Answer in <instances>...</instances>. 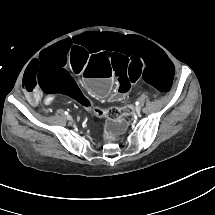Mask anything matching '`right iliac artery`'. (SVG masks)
<instances>
[{
    "instance_id": "82829eb1",
    "label": "right iliac artery",
    "mask_w": 215,
    "mask_h": 215,
    "mask_svg": "<svg viewBox=\"0 0 215 215\" xmlns=\"http://www.w3.org/2000/svg\"><path fill=\"white\" fill-rule=\"evenodd\" d=\"M65 114H66V115H68V112H67V111H65Z\"/></svg>"
}]
</instances>
